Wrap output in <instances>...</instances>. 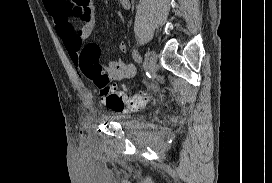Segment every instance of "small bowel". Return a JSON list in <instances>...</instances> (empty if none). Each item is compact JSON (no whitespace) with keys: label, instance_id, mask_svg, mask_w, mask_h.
Segmentation results:
<instances>
[{"label":"small bowel","instance_id":"1","mask_svg":"<svg viewBox=\"0 0 272 183\" xmlns=\"http://www.w3.org/2000/svg\"><path fill=\"white\" fill-rule=\"evenodd\" d=\"M124 8L129 0H120ZM46 11L53 17L58 36L62 39L72 60L77 65L82 45L92 34L95 27V5L92 0H43ZM80 23L76 30L74 23ZM121 52L126 46L119 45ZM107 75L114 81L130 79L135 74L132 64L122 60L109 61L105 66Z\"/></svg>","mask_w":272,"mask_h":183}]
</instances>
